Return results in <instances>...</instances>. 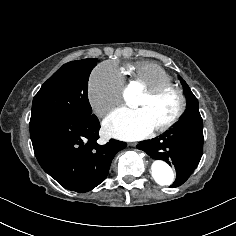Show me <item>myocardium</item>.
I'll use <instances>...</instances> for the list:
<instances>
[{
  "instance_id": "myocardium-1",
  "label": "myocardium",
  "mask_w": 236,
  "mask_h": 236,
  "mask_svg": "<svg viewBox=\"0 0 236 236\" xmlns=\"http://www.w3.org/2000/svg\"><path fill=\"white\" fill-rule=\"evenodd\" d=\"M172 93L177 98V109L173 116L162 126L154 129L156 134H162L173 128L184 116L187 108V98L182 88L175 84H163L144 91V95L150 101H154L161 96Z\"/></svg>"
}]
</instances>
